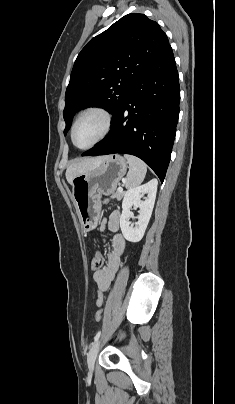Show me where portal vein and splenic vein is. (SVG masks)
Segmentation results:
<instances>
[{
    "mask_svg": "<svg viewBox=\"0 0 235 404\" xmlns=\"http://www.w3.org/2000/svg\"><path fill=\"white\" fill-rule=\"evenodd\" d=\"M118 191H119V192L123 191V188H122V187H119V188H118Z\"/></svg>",
    "mask_w": 235,
    "mask_h": 404,
    "instance_id": "18ae733b",
    "label": "portal vein and splenic vein"
}]
</instances>
